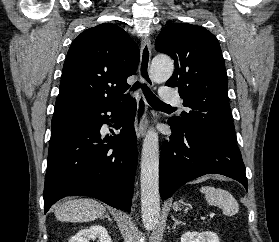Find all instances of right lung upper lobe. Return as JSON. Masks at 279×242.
<instances>
[{"label": "right lung upper lobe", "instance_id": "1", "mask_svg": "<svg viewBox=\"0 0 279 242\" xmlns=\"http://www.w3.org/2000/svg\"><path fill=\"white\" fill-rule=\"evenodd\" d=\"M139 48L119 26L104 23L82 32L63 65L54 116L114 107L127 100V78L139 63Z\"/></svg>", "mask_w": 279, "mask_h": 242}]
</instances>
